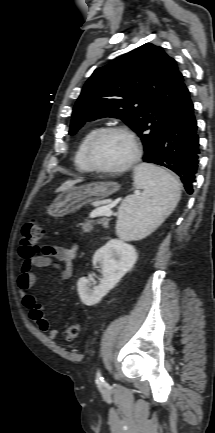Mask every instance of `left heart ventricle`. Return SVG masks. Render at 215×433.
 <instances>
[{
    "instance_id": "1",
    "label": "left heart ventricle",
    "mask_w": 215,
    "mask_h": 433,
    "mask_svg": "<svg viewBox=\"0 0 215 433\" xmlns=\"http://www.w3.org/2000/svg\"><path fill=\"white\" fill-rule=\"evenodd\" d=\"M132 152L133 148L127 137L120 133H108L96 142L92 157L100 167L116 168L124 165Z\"/></svg>"
}]
</instances>
